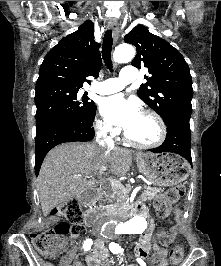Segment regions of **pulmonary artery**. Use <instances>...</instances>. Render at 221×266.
<instances>
[{
  "instance_id": "1",
  "label": "pulmonary artery",
  "mask_w": 221,
  "mask_h": 266,
  "mask_svg": "<svg viewBox=\"0 0 221 266\" xmlns=\"http://www.w3.org/2000/svg\"><path fill=\"white\" fill-rule=\"evenodd\" d=\"M137 74L134 66H124L118 78H108L93 87V91L107 95L121 91L128 83L136 80Z\"/></svg>"
}]
</instances>
